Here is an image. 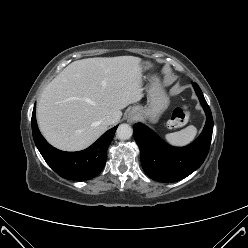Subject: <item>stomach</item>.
I'll return each instance as SVG.
<instances>
[{
  "label": "stomach",
  "mask_w": 248,
  "mask_h": 248,
  "mask_svg": "<svg viewBox=\"0 0 248 248\" xmlns=\"http://www.w3.org/2000/svg\"><path fill=\"white\" fill-rule=\"evenodd\" d=\"M153 64L149 61H143V70L151 68ZM149 104L146 107L136 106L134 110L138 111V117L148 119L152 123H156L160 115L167 109L169 105V97L161 86L157 78L151 80L148 91Z\"/></svg>",
  "instance_id": "obj_1"
}]
</instances>
